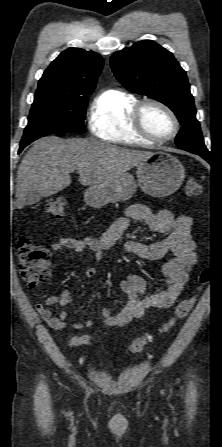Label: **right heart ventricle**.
Wrapping results in <instances>:
<instances>
[{"label":"right heart ventricle","mask_w":222,"mask_h":447,"mask_svg":"<svg viewBox=\"0 0 222 447\" xmlns=\"http://www.w3.org/2000/svg\"><path fill=\"white\" fill-rule=\"evenodd\" d=\"M138 99L123 90L108 89L94 101L89 129L94 137L108 143L149 144L134 128L131 114Z\"/></svg>","instance_id":"obj_1"}]
</instances>
